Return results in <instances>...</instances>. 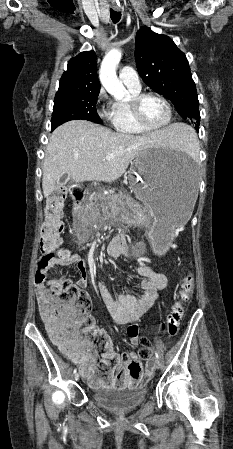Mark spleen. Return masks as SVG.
<instances>
[{
	"mask_svg": "<svg viewBox=\"0 0 233 449\" xmlns=\"http://www.w3.org/2000/svg\"><path fill=\"white\" fill-rule=\"evenodd\" d=\"M185 125L186 131L185 134H182V138L179 142H175L173 145L179 151H184L186 153L195 152L198 150V142L195 133L192 131L190 127Z\"/></svg>",
	"mask_w": 233,
	"mask_h": 449,
	"instance_id": "obj_1",
	"label": "spleen"
}]
</instances>
